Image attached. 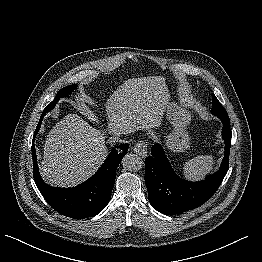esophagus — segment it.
<instances>
[{"mask_svg": "<svg viewBox=\"0 0 262 262\" xmlns=\"http://www.w3.org/2000/svg\"><path fill=\"white\" fill-rule=\"evenodd\" d=\"M147 150V144L144 140L139 141L134 146V152L142 158H145L147 156Z\"/></svg>", "mask_w": 262, "mask_h": 262, "instance_id": "1", "label": "esophagus"}]
</instances>
